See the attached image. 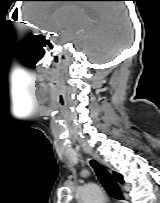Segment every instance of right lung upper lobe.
Instances as JSON below:
<instances>
[{
  "label": "right lung upper lobe",
  "mask_w": 160,
  "mask_h": 203,
  "mask_svg": "<svg viewBox=\"0 0 160 203\" xmlns=\"http://www.w3.org/2000/svg\"><path fill=\"white\" fill-rule=\"evenodd\" d=\"M114 177H115V179H116L119 183L122 184V183L124 182L122 175H120V174H118V173H116V172H114Z\"/></svg>",
  "instance_id": "obj_1"
}]
</instances>
